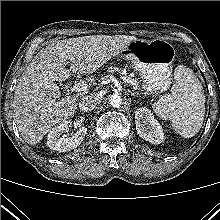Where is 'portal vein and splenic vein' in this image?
Listing matches in <instances>:
<instances>
[{
  "instance_id": "portal-vein-and-splenic-vein-1",
  "label": "portal vein and splenic vein",
  "mask_w": 220,
  "mask_h": 220,
  "mask_svg": "<svg viewBox=\"0 0 220 220\" xmlns=\"http://www.w3.org/2000/svg\"><path fill=\"white\" fill-rule=\"evenodd\" d=\"M122 79H123L124 82L132 83L133 84L132 80H130L129 78L123 77ZM88 88H89L88 83L85 82V81H82V82H79V83H75L73 85V87L71 88V91L72 92L73 91L74 92H82V91L88 90Z\"/></svg>"
}]
</instances>
